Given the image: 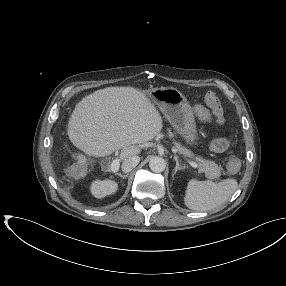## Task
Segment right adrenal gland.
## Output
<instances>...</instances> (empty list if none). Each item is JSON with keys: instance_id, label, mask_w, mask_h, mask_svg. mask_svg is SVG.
Masks as SVG:
<instances>
[{"instance_id": "obj_1", "label": "right adrenal gland", "mask_w": 286, "mask_h": 286, "mask_svg": "<svg viewBox=\"0 0 286 286\" xmlns=\"http://www.w3.org/2000/svg\"><path fill=\"white\" fill-rule=\"evenodd\" d=\"M119 177H121L122 179H126L128 177V174L126 175H122L121 173H118L117 174Z\"/></svg>"}]
</instances>
